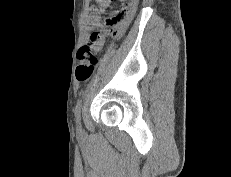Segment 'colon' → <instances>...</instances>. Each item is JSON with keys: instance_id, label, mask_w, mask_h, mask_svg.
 <instances>
[{"instance_id": "5ec220e1", "label": "colon", "mask_w": 231, "mask_h": 177, "mask_svg": "<svg viewBox=\"0 0 231 177\" xmlns=\"http://www.w3.org/2000/svg\"><path fill=\"white\" fill-rule=\"evenodd\" d=\"M111 0H104L105 4L109 3ZM125 8L116 16L110 17L106 20V25H114L127 17H129L135 10L137 0H124ZM102 39V35L99 32H94L91 35L92 41H97ZM77 67H76V78L80 82H85L92 76L96 65L97 58L94 55L90 45H84L77 51Z\"/></svg>"}]
</instances>
